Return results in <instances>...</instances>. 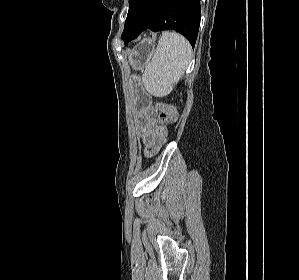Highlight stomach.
Segmentation results:
<instances>
[{
  "label": "stomach",
  "mask_w": 299,
  "mask_h": 280,
  "mask_svg": "<svg viewBox=\"0 0 299 280\" xmlns=\"http://www.w3.org/2000/svg\"><path fill=\"white\" fill-rule=\"evenodd\" d=\"M155 52L154 44L148 39L140 41L129 53V62L135 70L145 69L150 62ZM134 98L138 104V109L141 104L147 101V95L139 85H136Z\"/></svg>",
  "instance_id": "stomach-1"
}]
</instances>
